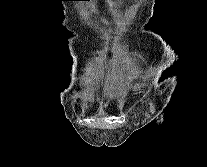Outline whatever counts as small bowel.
<instances>
[{
    "label": "small bowel",
    "mask_w": 207,
    "mask_h": 167,
    "mask_svg": "<svg viewBox=\"0 0 207 167\" xmlns=\"http://www.w3.org/2000/svg\"><path fill=\"white\" fill-rule=\"evenodd\" d=\"M106 3H113V0H106Z\"/></svg>",
    "instance_id": "obj_1"
}]
</instances>
